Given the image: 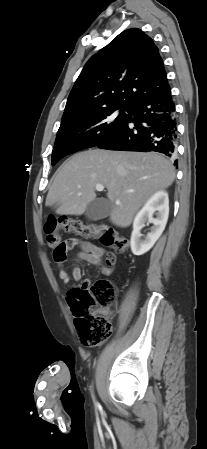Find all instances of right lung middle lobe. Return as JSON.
<instances>
[{
	"instance_id": "right-lung-middle-lobe-1",
	"label": "right lung middle lobe",
	"mask_w": 207,
	"mask_h": 449,
	"mask_svg": "<svg viewBox=\"0 0 207 449\" xmlns=\"http://www.w3.org/2000/svg\"><path fill=\"white\" fill-rule=\"evenodd\" d=\"M111 107L61 121L52 152V165L74 152L94 147L116 133L130 117L131 108ZM127 112V113H126Z\"/></svg>"
}]
</instances>
